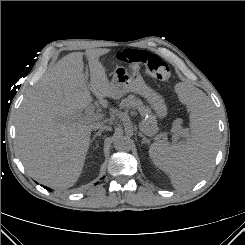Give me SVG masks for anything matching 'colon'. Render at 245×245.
I'll list each match as a JSON object with an SVG mask.
<instances>
[{
	"mask_svg": "<svg viewBox=\"0 0 245 245\" xmlns=\"http://www.w3.org/2000/svg\"><path fill=\"white\" fill-rule=\"evenodd\" d=\"M118 60L127 64L132 70L144 67L152 78L167 81L171 77L169 65L158 55L146 51L126 49L117 55Z\"/></svg>",
	"mask_w": 245,
	"mask_h": 245,
	"instance_id": "1",
	"label": "colon"
}]
</instances>
